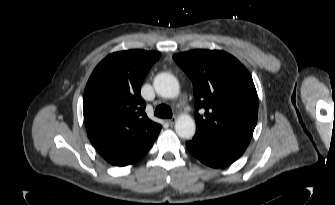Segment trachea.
Returning <instances> with one entry per match:
<instances>
[{"instance_id":"3493384b","label":"trachea","mask_w":335,"mask_h":205,"mask_svg":"<svg viewBox=\"0 0 335 205\" xmlns=\"http://www.w3.org/2000/svg\"><path fill=\"white\" fill-rule=\"evenodd\" d=\"M154 115L159 118H171L172 110L169 106L162 104L156 107Z\"/></svg>"}]
</instances>
